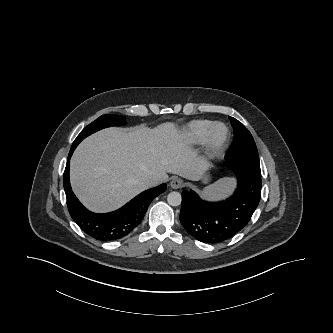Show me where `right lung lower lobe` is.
Wrapping results in <instances>:
<instances>
[{
	"instance_id": "1",
	"label": "right lung lower lobe",
	"mask_w": 333,
	"mask_h": 333,
	"mask_svg": "<svg viewBox=\"0 0 333 333\" xmlns=\"http://www.w3.org/2000/svg\"><path fill=\"white\" fill-rule=\"evenodd\" d=\"M76 147L70 149L63 177L67 206L72 219L86 234L100 241H114L128 235L141 223L151 201L159 193L166 191V184L142 192L114 212L93 213L79 202L70 186V158Z\"/></svg>"
}]
</instances>
